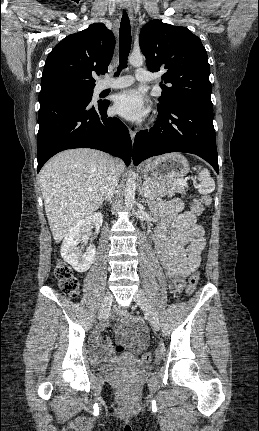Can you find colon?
I'll use <instances>...</instances> for the list:
<instances>
[{"instance_id":"1","label":"colon","mask_w":259,"mask_h":431,"mask_svg":"<svg viewBox=\"0 0 259 431\" xmlns=\"http://www.w3.org/2000/svg\"><path fill=\"white\" fill-rule=\"evenodd\" d=\"M212 202V198L209 195H204L200 198L199 201H193L190 203L189 208L193 211V214L197 218H202V212L204 211V206H209ZM55 276L56 279L59 282L60 288L63 292L68 294L71 297H76L78 295L79 291V281L78 279L73 275L71 269L63 262L59 261L56 265L55 269ZM199 281V274L198 272H194L190 275L188 279V285H187V294L192 295L197 287ZM125 349L123 345H117L116 351L122 352ZM153 355L151 352H147L143 355V362H149L151 361Z\"/></svg>"}]
</instances>
